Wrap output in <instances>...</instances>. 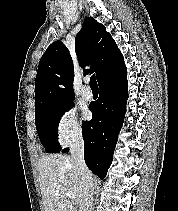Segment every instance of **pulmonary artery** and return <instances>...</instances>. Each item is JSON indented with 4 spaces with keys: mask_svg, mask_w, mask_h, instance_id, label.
<instances>
[{
    "mask_svg": "<svg viewBox=\"0 0 178 211\" xmlns=\"http://www.w3.org/2000/svg\"><path fill=\"white\" fill-rule=\"evenodd\" d=\"M82 95H83V97H84L85 99H87V100H91V99H92L93 93H92L91 87L89 86V83H87V84L84 86Z\"/></svg>",
    "mask_w": 178,
    "mask_h": 211,
    "instance_id": "obj_1",
    "label": "pulmonary artery"
}]
</instances>
